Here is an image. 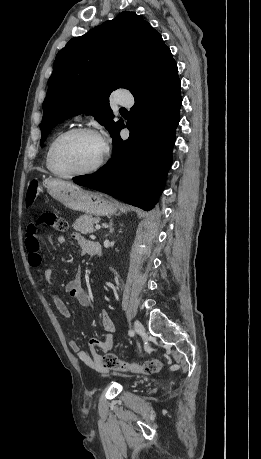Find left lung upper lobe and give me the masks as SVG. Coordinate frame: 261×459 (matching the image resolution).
Returning a JSON list of instances; mask_svg holds the SVG:
<instances>
[{"mask_svg": "<svg viewBox=\"0 0 261 459\" xmlns=\"http://www.w3.org/2000/svg\"><path fill=\"white\" fill-rule=\"evenodd\" d=\"M174 62L161 35L134 12L124 11L58 52L43 102L41 138L72 116L92 114L114 137L123 124L114 122L109 97L125 88L135 95Z\"/></svg>", "mask_w": 261, "mask_h": 459, "instance_id": "obj_1", "label": "left lung upper lobe"}]
</instances>
